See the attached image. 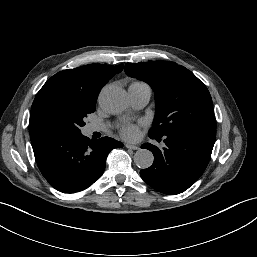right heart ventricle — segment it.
<instances>
[{
  "label": "right heart ventricle",
  "mask_w": 257,
  "mask_h": 257,
  "mask_svg": "<svg viewBox=\"0 0 257 257\" xmlns=\"http://www.w3.org/2000/svg\"><path fill=\"white\" fill-rule=\"evenodd\" d=\"M139 84H143V83H141V82H134V83H132V85H139Z\"/></svg>",
  "instance_id": "1"
}]
</instances>
